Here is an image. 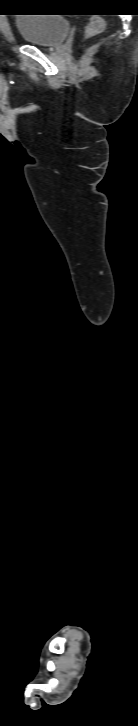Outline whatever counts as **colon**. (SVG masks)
Wrapping results in <instances>:
<instances>
[{"instance_id":"5ec220e1","label":"colon","mask_w":138,"mask_h":726,"mask_svg":"<svg viewBox=\"0 0 138 726\" xmlns=\"http://www.w3.org/2000/svg\"><path fill=\"white\" fill-rule=\"evenodd\" d=\"M105 28V22L101 18H93L89 22L88 26L85 30V38H91L96 35L101 34L104 31Z\"/></svg>"}]
</instances>
